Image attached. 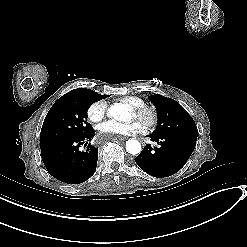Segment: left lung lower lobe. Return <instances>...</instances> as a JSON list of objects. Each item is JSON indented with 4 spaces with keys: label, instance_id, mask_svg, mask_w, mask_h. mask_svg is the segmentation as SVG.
I'll return each instance as SVG.
<instances>
[{
    "label": "left lung lower lobe",
    "instance_id": "1",
    "mask_svg": "<svg viewBox=\"0 0 247 247\" xmlns=\"http://www.w3.org/2000/svg\"><path fill=\"white\" fill-rule=\"evenodd\" d=\"M159 147L152 149L150 144L135 159L138 166L154 177H167L178 172L192 154L196 140L186 137L152 136Z\"/></svg>",
    "mask_w": 247,
    "mask_h": 247
}]
</instances>
